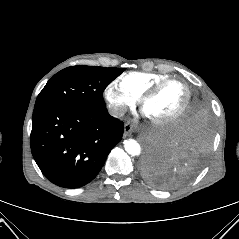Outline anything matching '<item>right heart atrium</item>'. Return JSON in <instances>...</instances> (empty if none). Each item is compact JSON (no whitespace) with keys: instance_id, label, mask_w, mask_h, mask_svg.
Listing matches in <instances>:
<instances>
[{"instance_id":"d8ad5b80","label":"right heart atrium","mask_w":239,"mask_h":239,"mask_svg":"<svg viewBox=\"0 0 239 239\" xmlns=\"http://www.w3.org/2000/svg\"><path fill=\"white\" fill-rule=\"evenodd\" d=\"M104 96L111 113L115 116H121L127 107L132 106L137 100V97L125 91L117 81L106 86Z\"/></svg>"}]
</instances>
